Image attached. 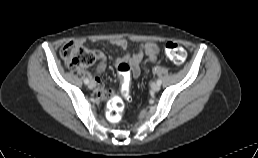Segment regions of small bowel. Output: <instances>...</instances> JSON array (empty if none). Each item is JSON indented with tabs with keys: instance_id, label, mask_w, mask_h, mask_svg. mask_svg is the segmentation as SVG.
Wrapping results in <instances>:
<instances>
[{
	"instance_id": "c3829d8e",
	"label": "small bowel",
	"mask_w": 258,
	"mask_h": 158,
	"mask_svg": "<svg viewBox=\"0 0 258 158\" xmlns=\"http://www.w3.org/2000/svg\"><path fill=\"white\" fill-rule=\"evenodd\" d=\"M110 43L111 45L126 51V53L121 58L120 62L125 61L130 65L132 75L135 78L140 75V71H141L140 63L143 57L146 55L151 61H155L159 53V47L157 43L152 41L141 43L138 50L134 53H130L128 51L129 43L125 39H122V38L113 39L110 41ZM94 54L99 61L98 66L96 68V73L93 79V82L95 83V86L97 88L96 95L98 98L106 99L111 97L112 95L111 92L106 91L104 89V81L102 78V74L105 71L107 66L106 57L104 53L100 50H95Z\"/></svg>"
}]
</instances>
